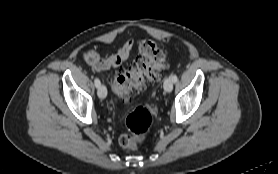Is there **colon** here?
Segmentation results:
<instances>
[{"mask_svg": "<svg viewBox=\"0 0 278 174\" xmlns=\"http://www.w3.org/2000/svg\"><path fill=\"white\" fill-rule=\"evenodd\" d=\"M166 67V54L152 40L145 39L139 44V56L131 67L121 68L113 77L114 92L128 101L148 85L159 81ZM152 124L150 111L136 107L126 119L127 132L120 137V145L125 149H135L143 142Z\"/></svg>", "mask_w": 278, "mask_h": 174, "instance_id": "obj_1", "label": "colon"}]
</instances>
